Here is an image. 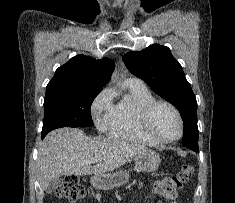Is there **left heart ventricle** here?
I'll return each mask as SVG.
<instances>
[{
  "label": "left heart ventricle",
  "mask_w": 235,
  "mask_h": 203,
  "mask_svg": "<svg viewBox=\"0 0 235 203\" xmlns=\"http://www.w3.org/2000/svg\"><path fill=\"white\" fill-rule=\"evenodd\" d=\"M150 129L158 137L171 139L179 133V123L174 112L165 105L158 106L152 113Z\"/></svg>",
  "instance_id": "1"
}]
</instances>
